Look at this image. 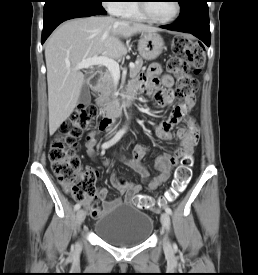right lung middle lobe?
<instances>
[{"label":"right lung middle lobe","instance_id":"right-lung-middle-lobe-1","mask_svg":"<svg viewBox=\"0 0 258 275\" xmlns=\"http://www.w3.org/2000/svg\"><path fill=\"white\" fill-rule=\"evenodd\" d=\"M49 0H47L46 2H48ZM92 2H95V3H98V4H101L102 0H90Z\"/></svg>","mask_w":258,"mask_h":275}]
</instances>
